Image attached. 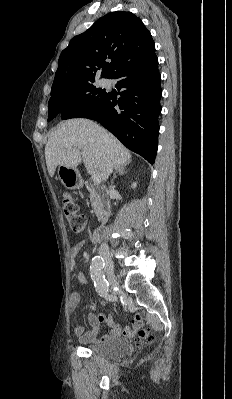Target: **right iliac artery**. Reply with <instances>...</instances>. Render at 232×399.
Returning <instances> with one entry per match:
<instances>
[{"label":"right iliac artery","instance_id":"82829eb1","mask_svg":"<svg viewBox=\"0 0 232 399\" xmlns=\"http://www.w3.org/2000/svg\"><path fill=\"white\" fill-rule=\"evenodd\" d=\"M104 258L100 255L93 256L90 264V276L98 295L112 300H117L116 294H108L109 283L103 274Z\"/></svg>","mask_w":232,"mask_h":399}]
</instances>
